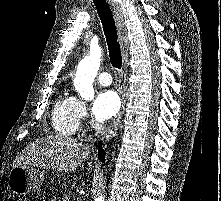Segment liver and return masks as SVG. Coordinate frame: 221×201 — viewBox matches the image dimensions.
<instances>
[{"label":"liver","instance_id":"obj_1","mask_svg":"<svg viewBox=\"0 0 221 201\" xmlns=\"http://www.w3.org/2000/svg\"><path fill=\"white\" fill-rule=\"evenodd\" d=\"M90 148L76 139L49 135L27 146L18 156L15 166H36L58 171H74L86 159Z\"/></svg>","mask_w":221,"mask_h":201}]
</instances>
